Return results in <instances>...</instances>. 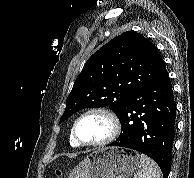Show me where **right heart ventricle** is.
Instances as JSON below:
<instances>
[{
    "label": "right heart ventricle",
    "instance_id": "e07e8e85",
    "mask_svg": "<svg viewBox=\"0 0 194 178\" xmlns=\"http://www.w3.org/2000/svg\"><path fill=\"white\" fill-rule=\"evenodd\" d=\"M69 143L72 147L74 148H78L80 147L78 144L75 143V141L73 140V138L71 137V134H70V137H69Z\"/></svg>",
    "mask_w": 194,
    "mask_h": 178
}]
</instances>
